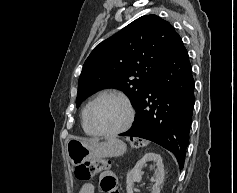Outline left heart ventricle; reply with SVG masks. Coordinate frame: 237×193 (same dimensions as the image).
<instances>
[{
	"label": "left heart ventricle",
	"instance_id": "b2bd125f",
	"mask_svg": "<svg viewBox=\"0 0 237 193\" xmlns=\"http://www.w3.org/2000/svg\"><path fill=\"white\" fill-rule=\"evenodd\" d=\"M127 116L125 106L112 97L98 100L91 111L93 124L102 131H111L122 127L126 123Z\"/></svg>",
	"mask_w": 237,
	"mask_h": 193
}]
</instances>
